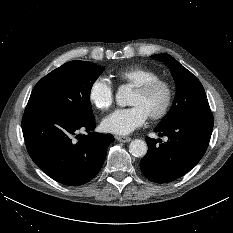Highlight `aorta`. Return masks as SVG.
Listing matches in <instances>:
<instances>
[{
    "mask_svg": "<svg viewBox=\"0 0 233 233\" xmlns=\"http://www.w3.org/2000/svg\"><path fill=\"white\" fill-rule=\"evenodd\" d=\"M130 96V89L127 87H121L119 88L117 94H116V103L119 106H126L127 101ZM147 144L145 141L140 139L133 140L129 145V151L130 153L135 157H143L147 153Z\"/></svg>",
    "mask_w": 233,
    "mask_h": 233,
    "instance_id": "1",
    "label": "aorta"
}]
</instances>
